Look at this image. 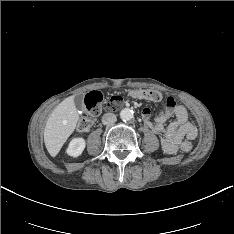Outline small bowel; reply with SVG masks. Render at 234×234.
<instances>
[{"mask_svg": "<svg viewBox=\"0 0 234 234\" xmlns=\"http://www.w3.org/2000/svg\"><path fill=\"white\" fill-rule=\"evenodd\" d=\"M174 116L175 119L166 125L168 119ZM142 119L147 127L156 134H163L161 144L163 150L168 154H174L183 139H195L197 129L188 120V111L185 106L177 104L174 98L167 99L166 107L151 120V113L148 108L142 110Z\"/></svg>", "mask_w": 234, "mask_h": 234, "instance_id": "c3829d8e", "label": "small bowel"}]
</instances>
